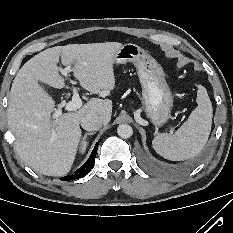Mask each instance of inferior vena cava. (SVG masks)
Returning a JSON list of instances; mask_svg holds the SVG:
<instances>
[{
    "mask_svg": "<svg viewBox=\"0 0 233 233\" xmlns=\"http://www.w3.org/2000/svg\"><path fill=\"white\" fill-rule=\"evenodd\" d=\"M102 124V120L94 114H87L81 119V126L87 131H97Z\"/></svg>",
    "mask_w": 233,
    "mask_h": 233,
    "instance_id": "inferior-vena-cava-1",
    "label": "inferior vena cava"
}]
</instances>
